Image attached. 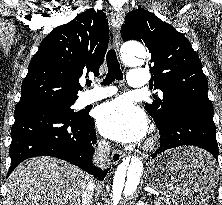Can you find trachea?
Wrapping results in <instances>:
<instances>
[{"mask_svg": "<svg viewBox=\"0 0 222 205\" xmlns=\"http://www.w3.org/2000/svg\"><path fill=\"white\" fill-rule=\"evenodd\" d=\"M107 61V67H108V73L106 75V78L102 81V85L106 86L111 84L113 81L116 80H122L123 74L120 69V64L117 60L116 52L114 49H109L106 56ZM87 85H91V81L87 82Z\"/></svg>", "mask_w": 222, "mask_h": 205, "instance_id": "1", "label": "trachea"}]
</instances>
